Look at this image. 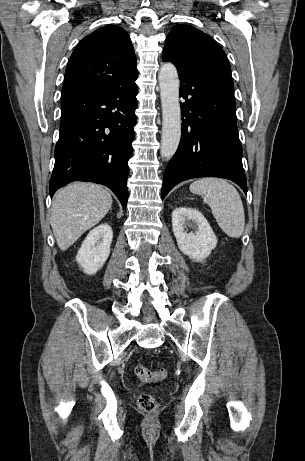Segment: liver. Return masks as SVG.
<instances>
[{
  "instance_id": "1",
  "label": "liver",
  "mask_w": 305,
  "mask_h": 461,
  "mask_svg": "<svg viewBox=\"0 0 305 461\" xmlns=\"http://www.w3.org/2000/svg\"><path fill=\"white\" fill-rule=\"evenodd\" d=\"M112 206L110 193L99 185L78 182L54 198L50 218L58 247L65 251L101 221Z\"/></svg>"
}]
</instances>
